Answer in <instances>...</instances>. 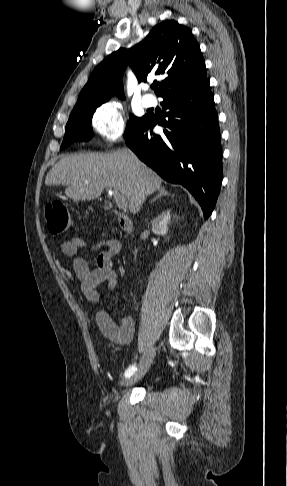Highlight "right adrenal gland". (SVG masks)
<instances>
[{"mask_svg":"<svg viewBox=\"0 0 287 486\" xmlns=\"http://www.w3.org/2000/svg\"><path fill=\"white\" fill-rule=\"evenodd\" d=\"M162 196H170V193L165 189V187H160L158 189V195H156L150 202H155L156 200L160 199Z\"/></svg>","mask_w":287,"mask_h":486,"instance_id":"1","label":"right adrenal gland"}]
</instances>
